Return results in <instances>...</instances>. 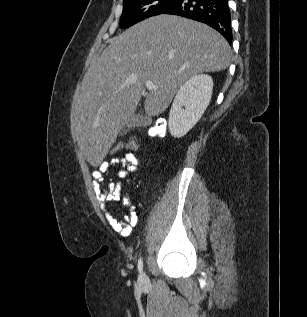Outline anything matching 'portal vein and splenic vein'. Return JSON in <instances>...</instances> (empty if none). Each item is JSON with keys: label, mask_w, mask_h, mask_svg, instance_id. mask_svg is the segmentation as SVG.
<instances>
[{"label": "portal vein and splenic vein", "mask_w": 307, "mask_h": 317, "mask_svg": "<svg viewBox=\"0 0 307 317\" xmlns=\"http://www.w3.org/2000/svg\"><path fill=\"white\" fill-rule=\"evenodd\" d=\"M145 87L148 90H152V89H157L158 88V86H156L152 81H146L145 82Z\"/></svg>", "instance_id": "obj_1"}]
</instances>
